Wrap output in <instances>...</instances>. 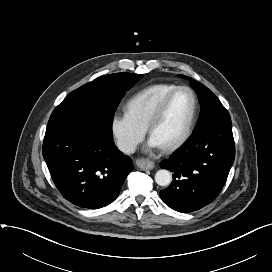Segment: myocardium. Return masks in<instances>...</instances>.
Wrapping results in <instances>:
<instances>
[{
	"mask_svg": "<svg viewBox=\"0 0 272 272\" xmlns=\"http://www.w3.org/2000/svg\"><path fill=\"white\" fill-rule=\"evenodd\" d=\"M180 91H187L190 93L193 100V108H192L191 116L188 120V123L183 133L175 141L161 146L162 149L165 151H173L179 148L180 146H182L188 140V138L191 136L193 132L197 115H198V110H199V102L194 90L188 86H177L176 88H174L161 100V102L159 103L155 111L153 112L147 125V131L149 135H151L155 126L159 123V121L164 116L170 101L172 100L174 95Z\"/></svg>",
	"mask_w": 272,
	"mask_h": 272,
	"instance_id": "obj_1",
	"label": "myocardium"
}]
</instances>
